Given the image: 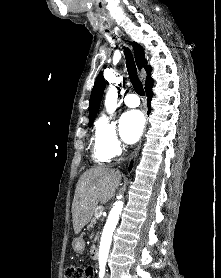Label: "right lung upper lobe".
<instances>
[{
    "instance_id": "1",
    "label": "right lung upper lobe",
    "mask_w": 221,
    "mask_h": 278,
    "mask_svg": "<svg viewBox=\"0 0 221 278\" xmlns=\"http://www.w3.org/2000/svg\"><path fill=\"white\" fill-rule=\"evenodd\" d=\"M133 46H134L135 60L138 68L141 69L142 67H145V71L147 73V80L145 83L146 85L152 80V78H150L151 67L145 65L146 60H145L144 50L142 46L137 44L136 42H133ZM104 89H105V79L103 77V74L99 73L95 81L94 87L92 89L90 101H89V124L93 123L95 116L99 110L100 101Z\"/></svg>"
}]
</instances>
